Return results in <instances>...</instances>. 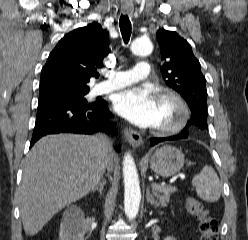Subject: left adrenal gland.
<instances>
[{"instance_id": "1", "label": "left adrenal gland", "mask_w": 248, "mask_h": 240, "mask_svg": "<svg viewBox=\"0 0 248 240\" xmlns=\"http://www.w3.org/2000/svg\"><path fill=\"white\" fill-rule=\"evenodd\" d=\"M146 201L155 207H158L160 204L154 199L152 194L150 193L149 187L146 189Z\"/></svg>"}]
</instances>
